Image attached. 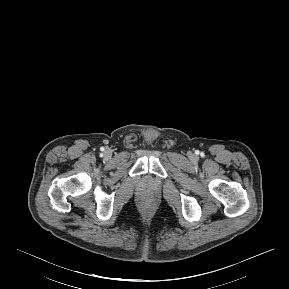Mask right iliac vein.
I'll list each match as a JSON object with an SVG mask.
<instances>
[{
    "label": "right iliac vein",
    "instance_id": "63e3f726",
    "mask_svg": "<svg viewBox=\"0 0 289 289\" xmlns=\"http://www.w3.org/2000/svg\"><path fill=\"white\" fill-rule=\"evenodd\" d=\"M104 156H105V157H109V156H110V152H109L108 150H106V151L104 152Z\"/></svg>",
    "mask_w": 289,
    "mask_h": 289
}]
</instances>
